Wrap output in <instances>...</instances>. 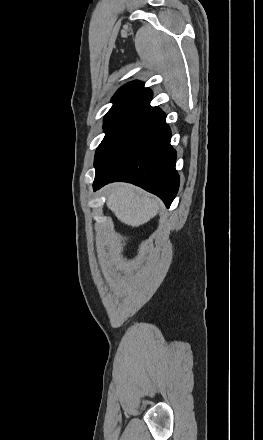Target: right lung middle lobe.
Returning a JSON list of instances; mask_svg holds the SVG:
<instances>
[{
  "label": "right lung middle lobe",
  "mask_w": 263,
  "mask_h": 440,
  "mask_svg": "<svg viewBox=\"0 0 263 440\" xmlns=\"http://www.w3.org/2000/svg\"><path fill=\"white\" fill-rule=\"evenodd\" d=\"M160 113L161 109L158 107L110 110L104 118L103 128L106 135L95 154V178L107 176Z\"/></svg>",
  "instance_id": "obj_1"
}]
</instances>
